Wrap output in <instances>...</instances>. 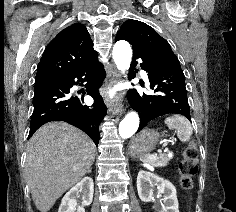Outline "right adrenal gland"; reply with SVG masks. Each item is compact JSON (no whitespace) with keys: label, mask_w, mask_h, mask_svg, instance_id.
I'll return each instance as SVG.
<instances>
[{"label":"right adrenal gland","mask_w":236,"mask_h":212,"mask_svg":"<svg viewBox=\"0 0 236 212\" xmlns=\"http://www.w3.org/2000/svg\"><path fill=\"white\" fill-rule=\"evenodd\" d=\"M92 172V168L90 167V169L87 171V173H91Z\"/></svg>","instance_id":"obj_1"}]
</instances>
